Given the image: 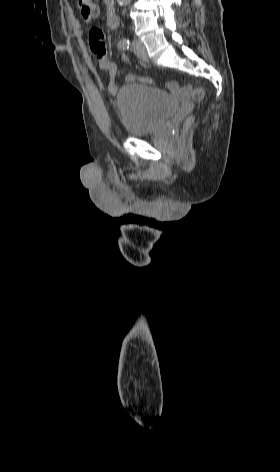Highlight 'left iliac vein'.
Here are the masks:
<instances>
[{"label": "left iliac vein", "mask_w": 280, "mask_h": 472, "mask_svg": "<svg viewBox=\"0 0 280 472\" xmlns=\"http://www.w3.org/2000/svg\"><path fill=\"white\" fill-rule=\"evenodd\" d=\"M132 48L138 58L144 62H148V55L144 44L140 40L132 41Z\"/></svg>", "instance_id": "1"}]
</instances>
